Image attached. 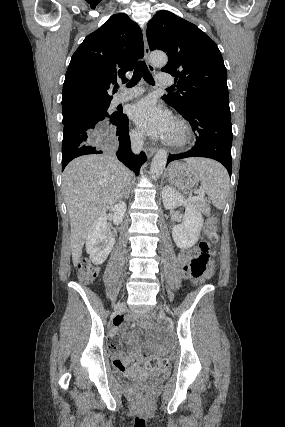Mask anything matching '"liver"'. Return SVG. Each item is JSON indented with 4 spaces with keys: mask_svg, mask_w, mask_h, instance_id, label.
Segmentation results:
<instances>
[{
    "mask_svg": "<svg viewBox=\"0 0 285 427\" xmlns=\"http://www.w3.org/2000/svg\"><path fill=\"white\" fill-rule=\"evenodd\" d=\"M127 175L128 169L109 153L81 156L66 166L62 192L71 225L74 266L80 261L91 225L118 201Z\"/></svg>",
    "mask_w": 285,
    "mask_h": 427,
    "instance_id": "6515ba94",
    "label": "liver"
}]
</instances>
